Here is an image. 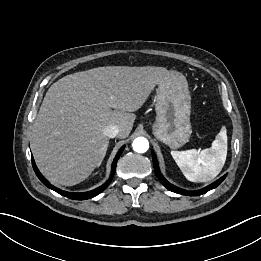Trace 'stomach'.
Segmentation results:
<instances>
[{"label":"stomach","mask_w":261,"mask_h":261,"mask_svg":"<svg viewBox=\"0 0 261 261\" xmlns=\"http://www.w3.org/2000/svg\"><path fill=\"white\" fill-rule=\"evenodd\" d=\"M155 110L154 136L172 149L186 144L192 133L191 98L187 80L181 73L172 71L158 83Z\"/></svg>","instance_id":"0dacf381"}]
</instances>
